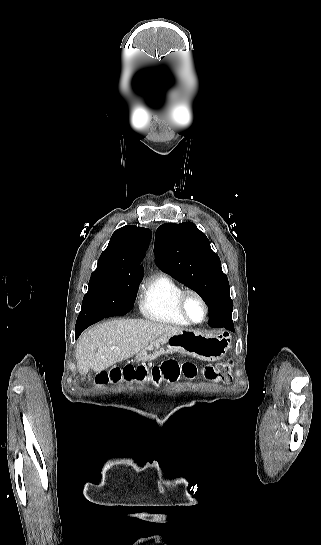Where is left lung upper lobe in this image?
I'll return each instance as SVG.
<instances>
[{
  "mask_svg": "<svg viewBox=\"0 0 321 545\" xmlns=\"http://www.w3.org/2000/svg\"><path fill=\"white\" fill-rule=\"evenodd\" d=\"M155 260L173 278L197 292L209 310L231 316L227 276L206 235L194 223H165L155 235Z\"/></svg>",
  "mask_w": 321,
  "mask_h": 545,
  "instance_id": "5c2ea615",
  "label": "left lung upper lobe"
}]
</instances>
